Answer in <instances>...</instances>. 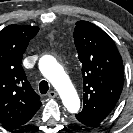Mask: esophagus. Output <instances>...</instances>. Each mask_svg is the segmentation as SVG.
Here are the masks:
<instances>
[{"instance_id": "34e87169", "label": "esophagus", "mask_w": 133, "mask_h": 133, "mask_svg": "<svg viewBox=\"0 0 133 133\" xmlns=\"http://www.w3.org/2000/svg\"><path fill=\"white\" fill-rule=\"evenodd\" d=\"M57 96V93L55 92V91H50L49 93H48V97L49 98H55Z\"/></svg>"}]
</instances>
